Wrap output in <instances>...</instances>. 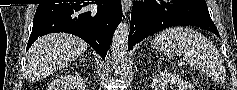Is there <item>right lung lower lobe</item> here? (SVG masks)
Returning <instances> with one entry per match:
<instances>
[{"label":"right lung lower lobe","mask_w":237,"mask_h":90,"mask_svg":"<svg viewBox=\"0 0 237 90\" xmlns=\"http://www.w3.org/2000/svg\"><path fill=\"white\" fill-rule=\"evenodd\" d=\"M121 19L120 0L39 4L27 50L40 36L65 32L85 40L104 59Z\"/></svg>","instance_id":"right-lung-lower-lobe-1"}]
</instances>
